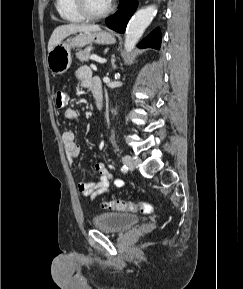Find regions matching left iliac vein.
Segmentation results:
<instances>
[{
	"label": "left iliac vein",
	"mask_w": 243,
	"mask_h": 289,
	"mask_svg": "<svg viewBox=\"0 0 243 289\" xmlns=\"http://www.w3.org/2000/svg\"><path fill=\"white\" fill-rule=\"evenodd\" d=\"M123 163L129 170H133L134 169V162H133V159H132L131 156L125 155L123 157Z\"/></svg>",
	"instance_id": "left-iliac-vein-1"
}]
</instances>
